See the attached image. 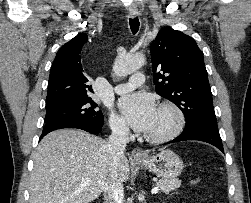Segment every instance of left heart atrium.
Masks as SVG:
<instances>
[{"label":"left heart atrium","instance_id":"1","mask_svg":"<svg viewBox=\"0 0 251 203\" xmlns=\"http://www.w3.org/2000/svg\"><path fill=\"white\" fill-rule=\"evenodd\" d=\"M119 107L131 127L147 132L156 116L157 107L153 97L146 93H133L119 101Z\"/></svg>","mask_w":251,"mask_h":203}]
</instances>
